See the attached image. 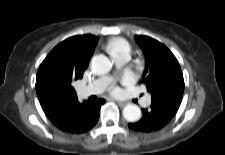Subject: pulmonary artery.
<instances>
[{
	"label": "pulmonary artery",
	"mask_w": 225,
	"mask_h": 155,
	"mask_svg": "<svg viewBox=\"0 0 225 155\" xmlns=\"http://www.w3.org/2000/svg\"><path fill=\"white\" fill-rule=\"evenodd\" d=\"M113 61L117 68H121L130 59V53L127 50L120 51L112 55ZM112 78L110 76L101 77L91 84L82 87L79 90V95L83 98L90 95L100 94L105 91L110 85ZM151 104V97L146 96L142 100L143 106H149Z\"/></svg>",
	"instance_id": "1"
}]
</instances>
